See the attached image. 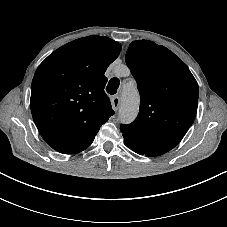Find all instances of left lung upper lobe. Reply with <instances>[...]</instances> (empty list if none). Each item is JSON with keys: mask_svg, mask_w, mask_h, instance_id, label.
Wrapping results in <instances>:
<instances>
[{"mask_svg": "<svg viewBox=\"0 0 227 227\" xmlns=\"http://www.w3.org/2000/svg\"><path fill=\"white\" fill-rule=\"evenodd\" d=\"M125 60L140 92L137 118L120 127L125 145L138 154L162 155L194 122L198 84L173 52L152 41H133Z\"/></svg>", "mask_w": 227, "mask_h": 227, "instance_id": "left-lung-upper-lobe-1", "label": "left lung upper lobe"}]
</instances>
